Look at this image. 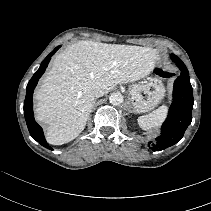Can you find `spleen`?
<instances>
[{
    "label": "spleen",
    "instance_id": "obj_1",
    "mask_svg": "<svg viewBox=\"0 0 211 211\" xmlns=\"http://www.w3.org/2000/svg\"><path fill=\"white\" fill-rule=\"evenodd\" d=\"M168 107L166 105L160 106L153 112L140 116L138 118L139 126L147 131H151L161 125L167 116Z\"/></svg>",
    "mask_w": 211,
    "mask_h": 211
}]
</instances>
